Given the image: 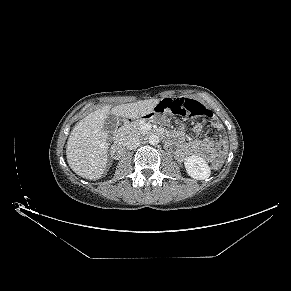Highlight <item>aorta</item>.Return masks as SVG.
Here are the masks:
<instances>
[{
	"instance_id": "obj_1",
	"label": "aorta",
	"mask_w": 291,
	"mask_h": 291,
	"mask_svg": "<svg viewBox=\"0 0 291 291\" xmlns=\"http://www.w3.org/2000/svg\"><path fill=\"white\" fill-rule=\"evenodd\" d=\"M148 142L150 145H157L159 143V137L157 135H151L149 138H148Z\"/></svg>"
}]
</instances>
